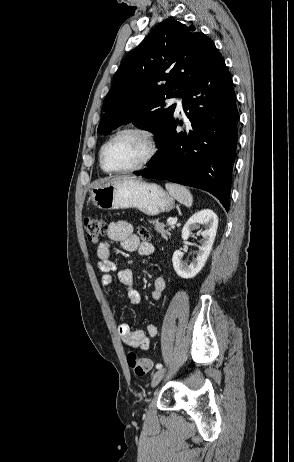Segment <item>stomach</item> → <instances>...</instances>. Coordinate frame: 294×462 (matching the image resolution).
<instances>
[{"instance_id":"obj_1","label":"stomach","mask_w":294,"mask_h":462,"mask_svg":"<svg viewBox=\"0 0 294 462\" xmlns=\"http://www.w3.org/2000/svg\"><path fill=\"white\" fill-rule=\"evenodd\" d=\"M90 200L103 210L136 208L150 216L174 206V199L159 185L131 177L113 179L92 189Z\"/></svg>"}]
</instances>
